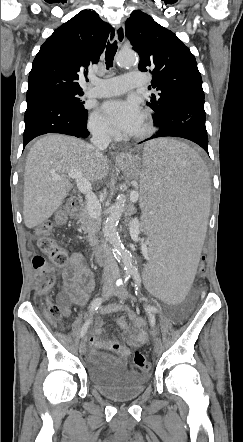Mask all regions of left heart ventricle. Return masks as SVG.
<instances>
[{
	"instance_id": "1",
	"label": "left heart ventricle",
	"mask_w": 243,
	"mask_h": 442,
	"mask_svg": "<svg viewBox=\"0 0 243 442\" xmlns=\"http://www.w3.org/2000/svg\"><path fill=\"white\" fill-rule=\"evenodd\" d=\"M145 128H146V120L143 116L140 123L138 124L137 128L133 131V133L131 135L139 134V133L143 132L145 130Z\"/></svg>"
}]
</instances>
